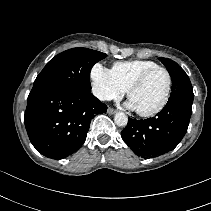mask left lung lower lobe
I'll use <instances>...</instances> for the list:
<instances>
[{"label": "left lung lower lobe", "instance_id": "0a47b994", "mask_svg": "<svg viewBox=\"0 0 211 211\" xmlns=\"http://www.w3.org/2000/svg\"><path fill=\"white\" fill-rule=\"evenodd\" d=\"M193 101L169 100L157 116L136 120L128 118L121 132L123 141L138 156H159L172 151L187 132Z\"/></svg>", "mask_w": 211, "mask_h": 211}]
</instances>
